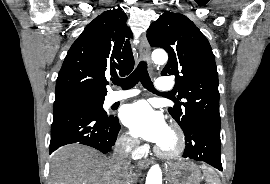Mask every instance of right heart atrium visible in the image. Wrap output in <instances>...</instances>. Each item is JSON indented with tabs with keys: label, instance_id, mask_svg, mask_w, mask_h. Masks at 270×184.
<instances>
[{
	"label": "right heart atrium",
	"instance_id": "right-heart-atrium-1",
	"mask_svg": "<svg viewBox=\"0 0 270 184\" xmlns=\"http://www.w3.org/2000/svg\"><path fill=\"white\" fill-rule=\"evenodd\" d=\"M119 143L128 152H133L136 150L137 142L128 133H125L120 137Z\"/></svg>",
	"mask_w": 270,
	"mask_h": 184
}]
</instances>
